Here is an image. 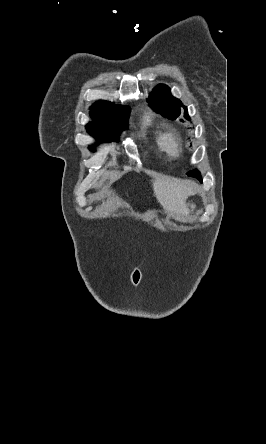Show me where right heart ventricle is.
<instances>
[{"mask_svg": "<svg viewBox=\"0 0 266 444\" xmlns=\"http://www.w3.org/2000/svg\"><path fill=\"white\" fill-rule=\"evenodd\" d=\"M141 128L144 136H149L158 149L165 151L163 146L164 131L156 124L151 114H145Z\"/></svg>", "mask_w": 266, "mask_h": 444, "instance_id": "right-heart-ventricle-1", "label": "right heart ventricle"}]
</instances>
